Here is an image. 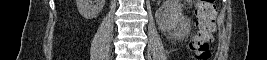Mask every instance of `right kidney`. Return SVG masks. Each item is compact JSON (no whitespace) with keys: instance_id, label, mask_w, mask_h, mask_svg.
Returning a JSON list of instances; mask_svg holds the SVG:
<instances>
[{"instance_id":"obj_1","label":"right kidney","mask_w":267,"mask_h":60,"mask_svg":"<svg viewBox=\"0 0 267 60\" xmlns=\"http://www.w3.org/2000/svg\"><path fill=\"white\" fill-rule=\"evenodd\" d=\"M91 0H76L79 13L85 19L95 18L103 9L105 0H96L95 5L89 4Z\"/></svg>"}]
</instances>
